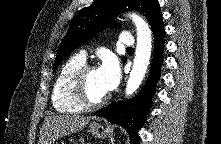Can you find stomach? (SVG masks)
Wrapping results in <instances>:
<instances>
[{
  "mask_svg": "<svg viewBox=\"0 0 221 144\" xmlns=\"http://www.w3.org/2000/svg\"><path fill=\"white\" fill-rule=\"evenodd\" d=\"M89 131L93 136L99 139L105 138L110 132L109 127L98 122L91 123L89 126Z\"/></svg>",
  "mask_w": 221,
  "mask_h": 144,
  "instance_id": "stomach-1",
  "label": "stomach"
}]
</instances>
